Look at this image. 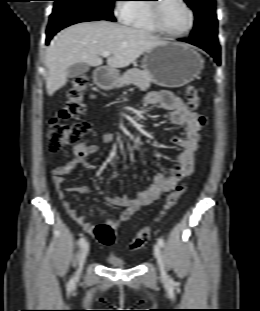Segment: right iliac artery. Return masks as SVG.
Returning a JSON list of instances; mask_svg holds the SVG:
<instances>
[{
	"label": "right iliac artery",
	"instance_id": "82829eb1",
	"mask_svg": "<svg viewBox=\"0 0 260 311\" xmlns=\"http://www.w3.org/2000/svg\"><path fill=\"white\" fill-rule=\"evenodd\" d=\"M85 243V238L84 237H81L78 241V245L79 246H82L83 244ZM71 282H73V278L71 279Z\"/></svg>",
	"mask_w": 260,
	"mask_h": 311
}]
</instances>
